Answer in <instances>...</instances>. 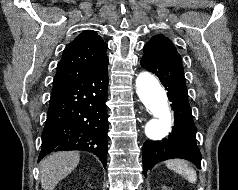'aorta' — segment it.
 I'll list each match as a JSON object with an SVG mask.
<instances>
[{"label": "aorta", "instance_id": "obj_1", "mask_svg": "<svg viewBox=\"0 0 238 190\" xmlns=\"http://www.w3.org/2000/svg\"><path fill=\"white\" fill-rule=\"evenodd\" d=\"M136 93L152 115L145 126L146 136L153 141L163 139L171 129V112L165 90L155 76L142 72L136 79Z\"/></svg>", "mask_w": 238, "mask_h": 190}]
</instances>
